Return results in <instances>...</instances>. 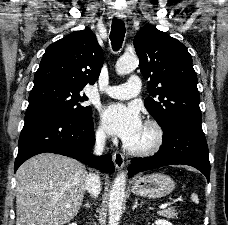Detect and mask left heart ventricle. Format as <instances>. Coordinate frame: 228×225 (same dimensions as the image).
I'll list each match as a JSON object with an SVG mask.
<instances>
[{"label": "left heart ventricle", "instance_id": "left-heart-ventricle-1", "mask_svg": "<svg viewBox=\"0 0 228 225\" xmlns=\"http://www.w3.org/2000/svg\"><path fill=\"white\" fill-rule=\"evenodd\" d=\"M152 142H153L152 133L143 126V129L140 135L134 141L130 142V144L137 147H146L152 144Z\"/></svg>", "mask_w": 228, "mask_h": 225}]
</instances>
